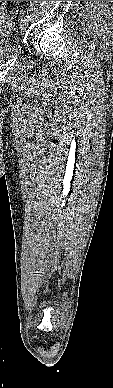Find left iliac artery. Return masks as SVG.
Instances as JSON below:
<instances>
[{"label": "left iliac artery", "mask_w": 113, "mask_h": 388, "mask_svg": "<svg viewBox=\"0 0 113 388\" xmlns=\"http://www.w3.org/2000/svg\"><path fill=\"white\" fill-rule=\"evenodd\" d=\"M25 17H26L27 19H29V20L31 19L29 15H26Z\"/></svg>", "instance_id": "left-iliac-artery-1"}]
</instances>
